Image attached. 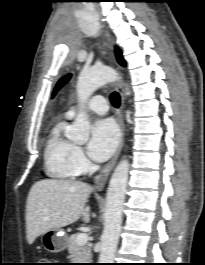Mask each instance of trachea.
I'll use <instances>...</instances> for the list:
<instances>
[{
	"label": "trachea",
	"instance_id": "3493384b",
	"mask_svg": "<svg viewBox=\"0 0 205 265\" xmlns=\"http://www.w3.org/2000/svg\"><path fill=\"white\" fill-rule=\"evenodd\" d=\"M110 101L114 107L118 108L120 106V95H119V93L113 92L110 95Z\"/></svg>",
	"mask_w": 205,
	"mask_h": 265
}]
</instances>
